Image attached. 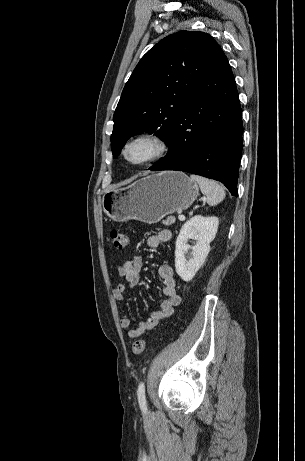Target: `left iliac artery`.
<instances>
[{
	"label": "left iliac artery",
	"instance_id": "left-iliac-artery-1",
	"mask_svg": "<svg viewBox=\"0 0 305 461\" xmlns=\"http://www.w3.org/2000/svg\"><path fill=\"white\" fill-rule=\"evenodd\" d=\"M137 395H138V401H139L140 408L144 412H146L147 405H146V397H145V385L143 382H141L138 386Z\"/></svg>",
	"mask_w": 305,
	"mask_h": 461
}]
</instances>
